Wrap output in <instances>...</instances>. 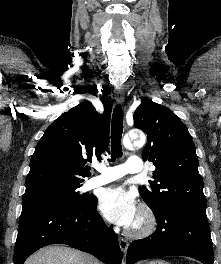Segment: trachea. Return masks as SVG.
<instances>
[{"mask_svg": "<svg viewBox=\"0 0 221 264\" xmlns=\"http://www.w3.org/2000/svg\"><path fill=\"white\" fill-rule=\"evenodd\" d=\"M123 115L122 109L120 106H116L113 115H112V122H111V159L110 161L113 162L117 158L123 155L122 153V133H123Z\"/></svg>", "mask_w": 221, "mask_h": 264, "instance_id": "1", "label": "trachea"}]
</instances>
